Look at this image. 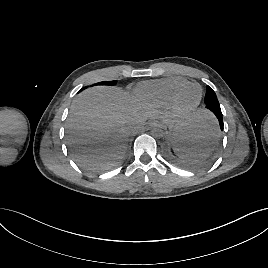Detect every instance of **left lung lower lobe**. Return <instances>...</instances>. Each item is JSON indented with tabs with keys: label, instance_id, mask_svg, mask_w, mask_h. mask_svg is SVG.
<instances>
[{
	"label": "left lung lower lobe",
	"instance_id": "obj_1",
	"mask_svg": "<svg viewBox=\"0 0 268 268\" xmlns=\"http://www.w3.org/2000/svg\"><path fill=\"white\" fill-rule=\"evenodd\" d=\"M206 108L209 109L214 115L217 117L220 125V129L223 130V119H222V112L220 106L215 105H206ZM217 142V141H216Z\"/></svg>",
	"mask_w": 268,
	"mask_h": 268
}]
</instances>
